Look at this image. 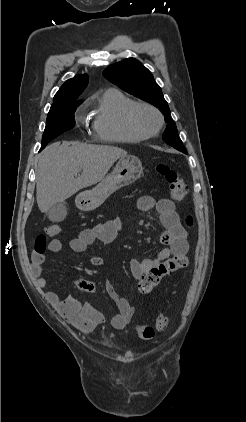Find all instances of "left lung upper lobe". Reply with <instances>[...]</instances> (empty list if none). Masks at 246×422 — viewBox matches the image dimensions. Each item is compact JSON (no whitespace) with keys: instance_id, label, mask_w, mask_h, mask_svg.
<instances>
[{"instance_id":"obj_1","label":"left lung upper lobe","mask_w":246,"mask_h":422,"mask_svg":"<svg viewBox=\"0 0 246 422\" xmlns=\"http://www.w3.org/2000/svg\"><path fill=\"white\" fill-rule=\"evenodd\" d=\"M103 75L122 90L156 106L164 115L168 125L163 133V140L175 149L187 153L177 133L171 117L168 103L163 97L161 88L155 82L150 71L138 60L127 58L108 66Z\"/></svg>"}]
</instances>
